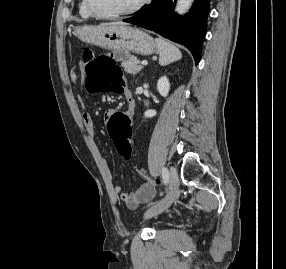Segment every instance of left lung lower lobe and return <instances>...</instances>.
I'll use <instances>...</instances> for the list:
<instances>
[{
	"mask_svg": "<svg viewBox=\"0 0 286 269\" xmlns=\"http://www.w3.org/2000/svg\"><path fill=\"white\" fill-rule=\"evenodd\" d=\"M176 1L152 0L148 7L137 12V16L123 21L152 30L185 45L191 51L197 65L206 32L210 0H195L191 12L185 16L174 13Z\"/></svg>",
	"mask_w": 286,
	"mask_h": 269,
	"instance_id": "1",
	"label": "left lung lower lobe"
}]
</instances>
